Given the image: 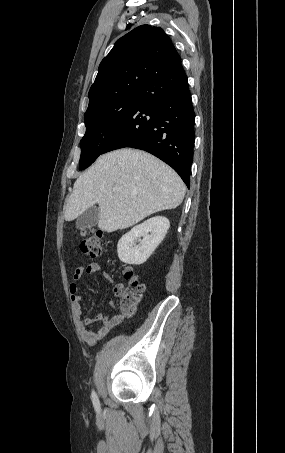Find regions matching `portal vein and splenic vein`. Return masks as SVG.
I'll return each instance as SVG.
<instances>
[{
    "mask_svg": "<svg viewBox=\"0 0 285 453\" xmlns=\"http://www.w3.org/2000/svg\"><path fill=\"white\" fill-rule=\"evenodd\" d=\"M113 191H114V192H117V191H118V188H113Z\"/></svg>",
    "mask_w": 285,
    "mask_h": 453,
    "instance_id": "1",
    "label": "portal vein and splenic vein"
}]
</instances>
